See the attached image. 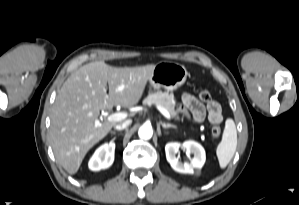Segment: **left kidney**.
I'll return each instance as SVG.
<instances>
[{
	"label": "left kidney",
	"instance_id": "5707ae66",
	"mask_svg": "<svg viewBox=\"0 0 299 205\" xmlns=\"http://www.w3.org/2000/svg\"><path fill=\"white\" fill-rule=\"evenodd\" d=\"M182 147L189 154H193L190 162L182 163L176 157L179 148ZM166 158L171 167L179 173L193 174L195 169H201L205 163L206 155L204 148L197 142L188 140L182 144L179 142H170L165 146Z\"/></svg>",
	"mask_w": 299,
	"mask_h": 205
}]
</instances>
